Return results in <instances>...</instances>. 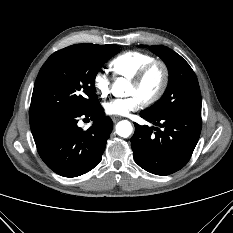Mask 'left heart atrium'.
I'll return each instance as SVG.
<instances>
[{
    "label": "left heart atrium",
    "mask_w": 233,
    "mask_h": 233,
    "mask_svg": "<svg viewBox=\"0 0 233 233\" xmlns=\"http://www.w3.org/2000/svg\"><path fill=\"white\" fill-rule=\"evenodd\" d=\"M142 101L136 95H130L126 98H116L104 103V110L107 114L113 116H125L131 111L138 110Z\"/></svg>",
    "instance_id": "obj_1"
}]
</instances>
